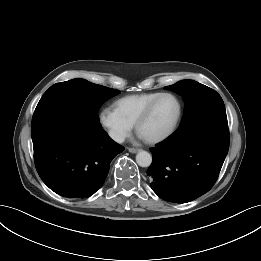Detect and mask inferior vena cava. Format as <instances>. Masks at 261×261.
Wrapping results in <instances>:
<instances>
[{"mask_svg":"<svg viewBox=\"0 0 261 261\" xmlns=\"http://www.w3.org/2000/svg\"><path fill=\"white\" fill-rule=\"evenodd\" d=\"M109 136L117 143H123L125 140V137L122 134L110 131Z\"/></svg>","mask_w":261,"mask_h":261,"instance_id":"obj_1","label":"inferior vena cava"}]
</instances>
